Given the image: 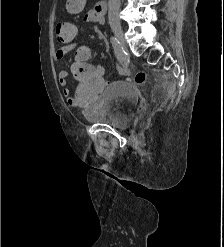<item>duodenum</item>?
Returning <instances> with one entry per match:
<instances>
[{
	"label": "duodenum",
	"instance_id": "obj_1",
	"mask_svg": "<svg viewBox=\"0 0 224 247\" xmlns=\"http://www.w3.org/2000/svg\"><path fill=\"white\" fill-rule=\"evenodd\" d=\"M95 9L98 13L102 14L106 9V0H101L96 6Z\"/></svg>",
	"mask_w": 224,
	"mask_h": 247
}]
</instances>
